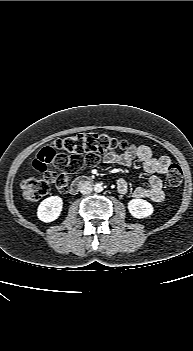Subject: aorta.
<instances>
[{
	"label": "aorta",
	"instance_id": "1",
	"mask_svg": "<svg viewBox=\"0 0 193 351\" xmlns=\"http://www.w3.org/2000/svg\"><path fill=\"white\" fill-rule=\"evenodd\" d=\"M94 191L97 192V193H100L103 191V185L102 183H96L94 185Z\"/></svg>",
	"mask_w": 193,
	"mask_h": 351
}]
</instances>
